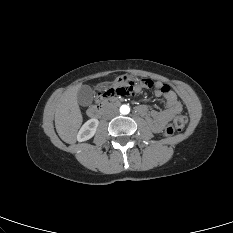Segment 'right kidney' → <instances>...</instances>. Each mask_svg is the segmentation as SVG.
<instances>
[{"instance_id": "obj_1", "label": "right kidney", "mask_w": 233, "mask_h": 233, "mask_svg": "<svg viewBox=\"0 0 233 233\" xmlns=\"http://www.w3.org/2000/svg\"><path fill=\"white\" fill-rule=\"evenodd\" d=\"M98 124H99V121L98 119H95V118L90 119L86 123H84L77 134V140L79 142H83V141L91 139L96 132Z\"/></svg>"}]
</instances>
